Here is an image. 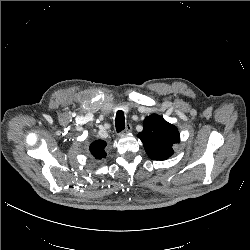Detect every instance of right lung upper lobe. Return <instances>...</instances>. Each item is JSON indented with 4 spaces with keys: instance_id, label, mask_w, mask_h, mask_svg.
Returning a JSON list of instances; mask_svg holds the SVG:
<instances>
[{
    "instance_id": "right-lung-upper-lobe-1",
    "label": "right lung upper lobe",
    "mask_w": 250,
    "mask_h": 250,
    "mask_svg": "<svg viewBox=\"0 0 250 250\" xmlns=\"http://www.w3.org/2000/svg\"><path fill=\"white\" fill-rule=\"evenodd\" d=\"M106 142L103 140H96L90 145V152L96 159L106 157L105 152Z\"/></svg>"
}]
</instances>
